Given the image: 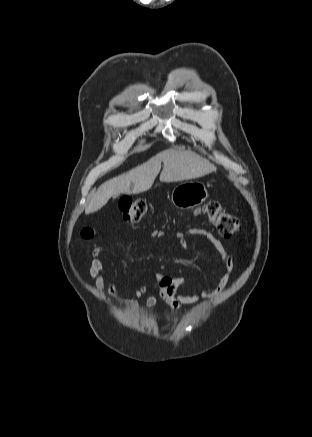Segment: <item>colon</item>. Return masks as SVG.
Wrapping results in <instances>:
<instances>
[{
	"mask_svg": "<svg viewBox=\"0 0 312 437\" xmlns=\"http://www.w3.org/2000/svg\"><path fill=\"white\" fill-rule=\"evenodd\" d=\"M147 202L141 198L122 197L119 201V208L124 220L137 222L147 212ZM203 212L208 216L211 223L218 229L223 237H232L240 230V221L231 214L219 202L212 201L202 207ZM84 239H90L93 235L91 229H84L81 232Z\"/></svg>",
	"mask_w": 312,
	"mask_h": 437,
	"instance_id": "obj_1",
	"label": "colon"
}]
</instances>
